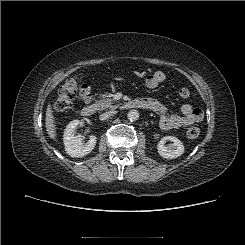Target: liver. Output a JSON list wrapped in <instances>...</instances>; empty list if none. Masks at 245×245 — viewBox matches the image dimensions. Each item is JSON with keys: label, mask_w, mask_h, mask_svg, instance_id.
Here are the masks:
<instances>
[{"label": "liver", "mask_w": 245, "mask_h": 245, "mask_svg": "<svg viewBox=\"0 0 245 245\" xmlns=\"http://www.w3.org/2000/svg\"><path fill=\"white\" fill-rule=\"evenodd\" d=\"M45 126H46V131L49 137L55 140L56 139V125H55V119L53 116V110L50 104L47 106V110H46Z\"/></svg>", "instance_id": "liver-1"}]
</instances>
